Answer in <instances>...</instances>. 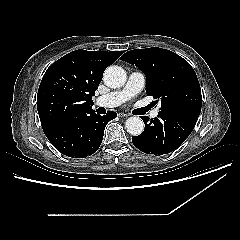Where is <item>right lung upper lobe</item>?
<instances>
[{
	"mask_svg": "<svg viewBox=\"0 0 240 240\" xmlns=\"http://www.w3.org/2000/svg\"><path fill=\"white\" fill-rule=\"evenodd\" d=\"M122 54V51L79 49L63 56L46 70L37 95V109L44 133L93 112L91 98L103 72Z\"/></svg>",
	"mask_w": 240,
	"mask_h": 240,
	"instance_id": "1",
	"label": "right lung upper lobe"
}]
</instances>
